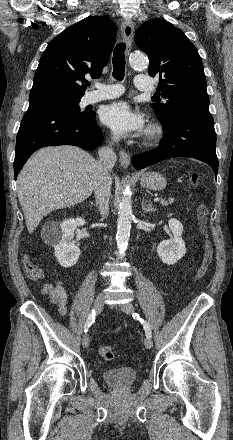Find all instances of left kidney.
Listing matches in <instances>:
<instances>
[{"label":"left kidney","mask_w":233,"mask_h":440,"mask_svg":"<svg viewBox=\"0 0 233 440\" xmlns=\"http://www.w3.org/2000/svg\"><path fill=\"white\" fill-rule=\"evenodd\" d=\"M173 238L163 240L158 244L157 253L160 260L167 264L173 265L186 254L185 242L181 235L183 232V225L177 219H170L168 221Z\"/></svg>","instance_id":"5707ae66"}]
</instances>
